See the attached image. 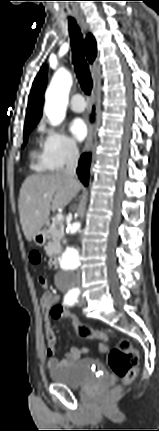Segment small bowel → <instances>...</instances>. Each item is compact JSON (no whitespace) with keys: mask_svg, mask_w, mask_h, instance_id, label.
Listing matches in <instances>:
<instances>
[{"mask_svg":"<svg viewBox=\"0 0 159 431\" xmlns=\"http://www.w3.org/2000/svg\"><path fill=\"white\" fill-rule=\"evenodd\" d=\"M39 282L41 286L45 289L40 298V304L44 315V320L46 322V337L48 341V346L46 349V356L48 358V367L50 369H58L62 367H67L77 361L84 353L87 352V349L84 347H72L70 351L65 355V357L61 360L56 358V347H57V337L51 327V314L52 309L48 308L47 298L50 296V291H52L49 287V283L45 277H40ZM56 301H59L58 296L55 294ZM68 311V310H67Z\"/></svg>","mask_w":159,"mask_h":431,"instance_id":"c3829d8e","label":"small bowel"}]
</instances>
